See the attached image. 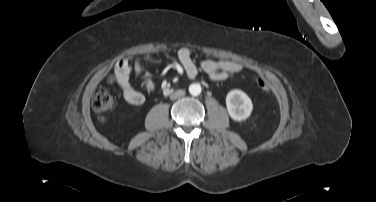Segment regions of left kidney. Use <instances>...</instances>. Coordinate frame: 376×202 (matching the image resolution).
Here are the masks:
<instances>
[{
    "mask_svg": "<svg viewBox=\"0 0 376 202\" xmlns=\"http://www.w3.org/2000/svg\"><path fill=\"white\" fill-rule=\"evenodd\" d=\"M226 106L230 117L235 121L246 120L253 109L249 96L241 90H231L226 96Z\"/></svg>",
    "mask_w": 376,
    "mask_h": 202,
    "instance_id": "obj_1",
    "label": "left kidney"
}]
</instances>
